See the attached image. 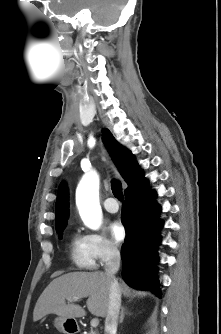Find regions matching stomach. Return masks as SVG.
Segmentation results:
<instances>
[{
  "label": "stomach",
  "mask_w": 221,
  "mask_h": 334,
  "mask_svg": "<svg viewBox=\"0 0 221 334\" xmlns=\"http://www.w3.org/2000/svg\"><path fill=\"white\" fill-rule=\"evenodd\" d=\"M54 325L59 331L65 334H72L71 332L77 331L78 328L74 320L63 318L61 316L54 320Z\"/></svg>",
  "instance_id": "stomach-1"
}]
</instances>
